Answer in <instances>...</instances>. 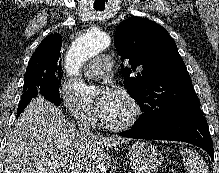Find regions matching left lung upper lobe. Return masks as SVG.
I'll return each instance as SVG.
<instances>
[{
  "mask_svg": "<svg viewBox=\"0 0 219 173\" xmlns=\"http://www.w3.org/2000/svg\"><path fill=\"white\" fill-rule=\"evenodd\" d=\"M115 46L123 84L144 112L135 125L155 127L180 112L200 108L176 43L163 27L149 19L129 18L116 28Z\"/></svg>",
  "mask_w": 219,
  "mask_h": 173,
  "instance_id": "1",
  "label": "left lung upper lobe"
}]
</instances>
